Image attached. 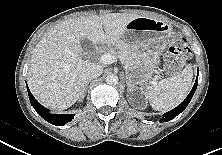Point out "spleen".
Instances as JSON below:
<instances>
[{
    "mask_svg": "<svg viewBox=\"0 0 222 155\" xmlns=\"http://www.w3.org/2000/svg\"><path fill=\"white\" fill-rule=\"evenodd\" d=\"M192 79V66L187 65L180 74L147 86L146 95L152 108L167 111L179 105L188 95Z\"/></svg>",
    "mask_w": 222,
    "mask_h": 155,
    "instance_id": "1",
    "label": "spleen"
}]
</instances>
